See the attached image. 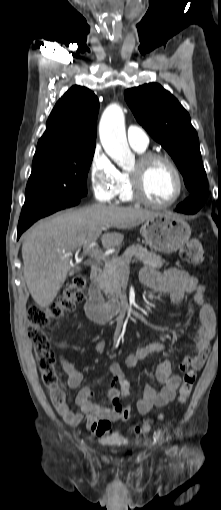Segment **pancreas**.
Returning a JSON list of instances; mask_svg holds the SVG:
<instances>
[{"label":"pancreas","mask_w":221,"mask_h":510,"mask_svg":"<svg viewBox=\"0 0 221 510\" xmlns=\"http://www.w3.org/2000/svg\"><path fill=\"white\" fill-rule=\"evenodd\" d=\"M133 258L155 269H160L165 263L161 256L148 251L146 247L141 245L128 247L122 256H113L104 265L99 286L106 295L113 297L121 294V276L129 268Z\"/></svg>","instance_id":"cf45deb5"}]
</instances>
